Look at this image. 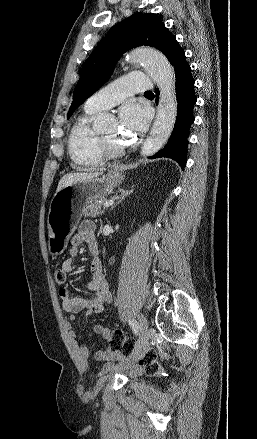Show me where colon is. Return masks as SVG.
<instances>
[{"instance_id": "1", "label": "colon", "mask_w": 257, "mask_h": 439, "mask_svg": "<svg viewBox=\"0 0 257 439\" xmlns=\"http://www.w3.org/2000/svg\"><path fill=\"white\" fill-rule=\"evenodd\" d=\"M67 280V273L62 269L55 272V281L58 284H64ZM109 348L113 352H117L124 357L129 356L134 349V342L132 339L124 336L120 331L114 330L108 338ZM140 364L145 368L148 375H157L160 371L157 356L153 351H146L140 359Z\"/></svg>"}]
</instances>
